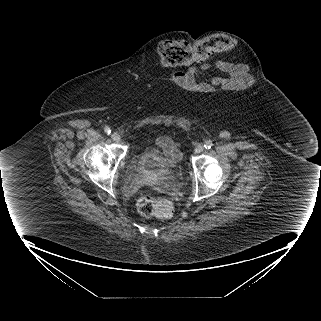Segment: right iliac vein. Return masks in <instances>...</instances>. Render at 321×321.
Instances as JSON below:
<instances>
[{"instance_id":"63e3f726","label":"right iliac vein","mask_w":321,"mask_h":321,"mask_svg":"<svg viewBox=\"0 0 321 321\" xmlns=\"http://www.w3.org/2000/svg\"><path fill=\"white\" fill-rule=\"evenodd\" d=\"M111 138H112L114 141L118 142V141H120L121 136H120L117 132H115V133H113V134L111 135Z\"/></svg>"}]
</instances>
